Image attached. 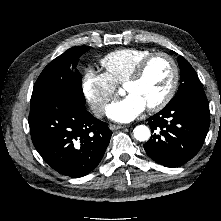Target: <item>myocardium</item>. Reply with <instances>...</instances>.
Segmentation results:
<instances>
[{"label": "myocardium", "mask_w": 221, "mask_h": 221, "mask_svg": "<svg viewBox=\"0 0 221 221\" xmlns=\"http://www.w3.org/2000/svg\"><path fill=\"white\" fill-rule=\"evenodd\" d=\"M157 57H164L166 58L172 67V81L170 84V87L167 91V93L164 95V97L159 100L157 103L152 104L147 107L149 111H159L163 109L174 97L178 84H179V67L176 62V60L168 53L163 51L153 52L143 58L135 67L132 74L129 76V78L126 80L125 85L138 82L144 75L147 66L149 63L157 58Z\"/></svg>", "instance_id": "obj_1"}]
</instances>
